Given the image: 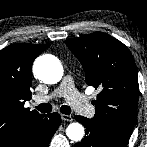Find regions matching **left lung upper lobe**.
Returning <instances> with one entry per match:
<instances>
[{"label": "left lung upper lobe", "mask_w": 147, "mask_h": 147, "mask_svg": "<svg viewBox=\"0 0 147 147\" xmlns=\"http://www.w3.org/2000/svg\"><path fill=\"white\" fill-rule=\"evenodd\" d=\"M81 62L86 83L100 92L92 121L127 142L137 115V70L128 48L114 37L94 32L65 41Z\"/></svg>", "instance_id": "1"}]
</instances>
